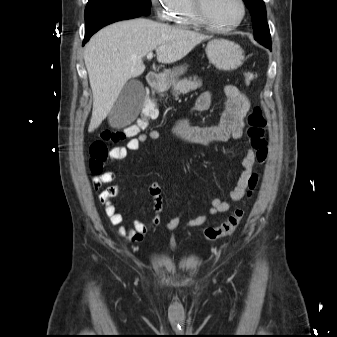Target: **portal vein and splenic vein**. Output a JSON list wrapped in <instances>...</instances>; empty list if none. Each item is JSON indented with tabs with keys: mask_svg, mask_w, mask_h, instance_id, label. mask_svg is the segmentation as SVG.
Masks as SVG:
<instances>
[{
	"mask_svg": "<svg viewBox=\"0 0 337 337\" xmlns=\"http://www.w3.org/2000/svg\"><path fill=\"white\" fill-rule=\"evenodd\" d=\"M153 58V53L152 52H149L148 54H147V59H152Z\"/></svg>",
	"mask_w": 337,
	"mask_h": 337,
	"instance_id": "1",
	"label": "portal vein and splenic vein"
}]
</instances>
